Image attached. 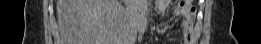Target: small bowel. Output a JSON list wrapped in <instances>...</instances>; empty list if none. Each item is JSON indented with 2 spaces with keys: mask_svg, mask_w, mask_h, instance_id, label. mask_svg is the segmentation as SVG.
Here are the masks:
<instances>
[{
  "mask_svg": "<svg viewBox=\"0 0 261 44\" xmlns=\"http://www.w3.org/2000/svg\"><path fill=\"white\" fill-rule=\"evenodd\" d=\"M171 5V1L169 0H155L153 2V7L159 14H164ZM138 10H148V3L146 2H138L137 5ZM174 14L182 16V44H190L193 40L195 24H194V12L190 6H186L185 8H175Z\"/></svg>",
  "mask_w": 261,
  "mask_h": 44,
  "instance_id": "small-bowel-1",
  "label": "small bowel"
}]
</instances>
